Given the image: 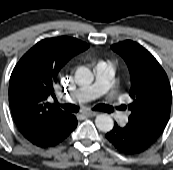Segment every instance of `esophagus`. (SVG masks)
<instances>
[{
  "label": "esophagus",
  "instance_id": "34e87169",
  "mask_svg": "<svg viewBox=\"0 0 173 170\" xmlns=\"http://www.w3.org/2000/svg\"><path fill=\"white\" fill-rule=\"evenodd\" d=\"M83 114L87 117H94V116L98 115V112L88 110V111H85Z\"/></svg>",
  "mask_w": 173,
  "mask_h": 170
}]
</instances>
